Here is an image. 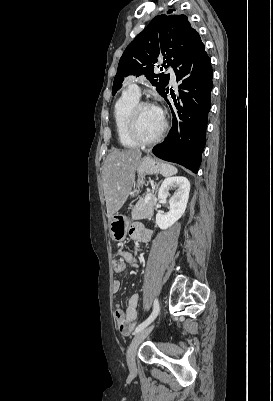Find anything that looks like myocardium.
Instances as JSON below:
<instances>
[{
	"instance_id": "1",
	"label": "myocardium",
	"mask_w": 273,
	"mask_h": 401,
	"mask_svg": "<svg viewBox=\"0 0 273 401\" xmlns=\"http://www.w3.org/2000/svg\"><path fill=\"white\" fill-rule=\"evenodd\" d=\"M142 107H152L154 106L148 102L140 101L138 102L130 111L127 122H126V134L134 142L139 145H152L159 142L165 135L168 125L165 120H163V126L161 131L152 138H144L137 131V113Z\"/></svg>"
}]
</instances>
